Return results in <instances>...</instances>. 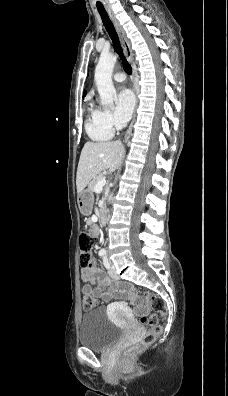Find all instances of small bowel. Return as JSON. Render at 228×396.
<instances>
[{
	"label": "small bowel",
	"instance_id": "c3829d8e",
	"mask_svg": "<svg viewBox=\"0 0 228 396\" xmlns=\"http://www.w3.org/2000/svg\"><path fill=\"white\" fill-rule=\"evenodd\" d=\"M88 226L92 235L96 236L97 228L92 226L91 222H88ZM81 277L85 282L82 287L83 294H91L105 302H110L114 298L128 300L132 304L135 314L146 313L147 309L142 305L131 285L112 281L98 268L95 261L89 267L82 269ZM91 284H96V287L93 288ZM116 305L128 310L127 305L121 301L116 302Z\"/></svg>",
	"mask_w": 228,
	"mask_h": 396
}]
</instances>
